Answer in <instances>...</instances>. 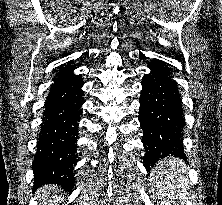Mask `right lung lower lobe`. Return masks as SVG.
Wrapping results in <instances>:
<instances>
[{
    "label": "right lung lower lobe",
    "mask_w": 222,
    "mask_h": 205,
    "mask_svg": "<svg viewBox=\"0 0 222 205\" xmlns=\"http://www.w3.org/2000/svg\"><path fill=\"white\" fill-rule=\"evenodd\" d=\"M74 68L61 70L51 86L45 104L33 169L34 190L55 183L70 191L74 186L78 121L82 114L81 75Z\"/></svg>",
    "instance_id": "obj_1"
}]
</instances>
